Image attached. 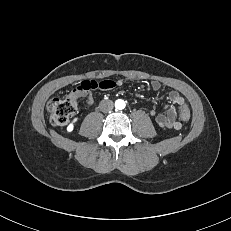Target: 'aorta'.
Instances as JSON below:
<instances>
[{
  "label": "aorta",
  "instance_id": "762f6f07",
  "mask_svg": "<svg viewBox=\"0 0 231 231\" xmlns=\"http://www.w3.org/2000/svg\"><path fill=\"white\" fill-rule=\"evenodd\" d=\"M115 107H116V109H118V110L124 109V108H125V101L122 100V99L116 100V102H115Z\"/></svg>",
  "mask_w": 231,
  "mask_h": 231
}]
</instances>
